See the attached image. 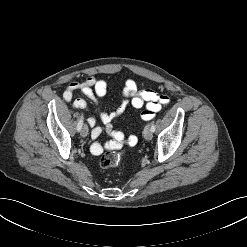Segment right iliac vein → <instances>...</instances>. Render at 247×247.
Returning a JSON list of instances; mask_svg holds the SVG:
<instances>
[{
  "label": "right iliac vein",
  "mask_w": 247,
  "mask_h": 247,
  "mask_svg": "<svg viewBox=\"0 0 247 247\" xmlns=\"http://www.w3.org/2000/svg\"><path fill=\"white\" fill-rule=\"evenodd\" d=\"M80 134H81L82 137H86L88 135V127H87V125H84L81 128Z\"/></svg>",
  "instance_id": "1"
}]
</instances>
